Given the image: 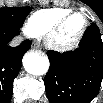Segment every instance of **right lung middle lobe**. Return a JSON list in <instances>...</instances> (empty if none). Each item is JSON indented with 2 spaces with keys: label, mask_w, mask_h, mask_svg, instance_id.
<instances>
[{
  "label": "right lung middle lobe",
  "mask_w": 103,
  "mask_h": 103,
  "mask_svg": "<svg viewBox=\"0 0 103 103\" xmlns=\"http://www.w3.org/2000/svg\"><path fill=\"white\" fill-rule=\"evenodd\" d=\"M30 11V7L0 8V26L20 29Z\"/></svg>",
  "instance_id": "dd1d6c3e"
}]
</instances>
